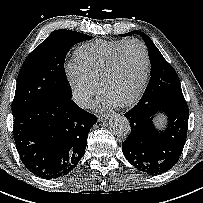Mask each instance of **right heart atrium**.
I'll use <instances>...</instances> for the list:
<instances>
[{"instance_id":"right-heart-atrium-1","label":"right heart atrium","mask_w":203,"mask_h":203,"mask_svg":"<svg viewBox=\"0 0 203 203\" xmlns=\"http://www.w3.org/2000/svg\"><path fill=\"white\" fill-rule=\"evenodd\" d=\"M64 71L76 103L87 107L98 90V83L77 62L67 63Z\"/></svg>"}]
</instances>
